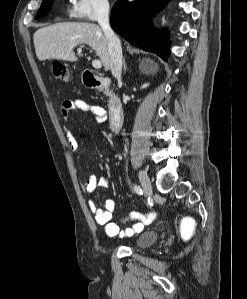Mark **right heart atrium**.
Segmentation results:
<instances>
[{
  "label": "right heart atrium",
  "instance_id": "1",
  "mask_svg": "<svg viewBox=\"0 0 247 299\" xmlns=\"http://www.w3.org/2000/svg\"><path fill=\"white\" fill-rule=\"evenodd\" d=\"M69 15L75 19L96 20L108 14V0H70Z\"/></svg>",
  "mask_w": 247,
  "mask_h": 299
}]
</instances>
